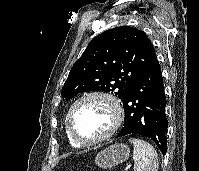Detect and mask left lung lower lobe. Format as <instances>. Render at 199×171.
<instances>
[{
    "mask_svg": "<svg viewBox=\"0 0 199 171\" xmlns=\"http://www.w3.org/2000/svg\"><path fill=\"white\" fill-rule=\"evenodd\" d=\"M124 125L116 137L138 134L151 138L163 155L167 152L166 98L157 57L133 82L123 100Z\"/></svg>",
    "mask_w": 199,
    "mask_h": 171,
    "instance_id": "1",
    "label": "left lung lower lobe"
}]
</instances>
